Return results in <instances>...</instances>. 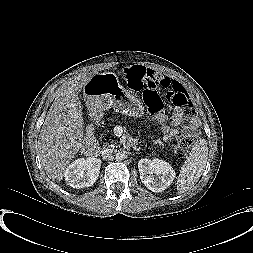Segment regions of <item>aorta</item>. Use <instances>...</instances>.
Wrapping results in <instances>:
<instances>
[{
  "mask_svg": "<svg viewBox=\"0 0 253 253\" xmlns=\"http://www.w3.org/2000/svg\"><path fill=\"white\" fill-rule=\"evenodd\" d=\"M124 158H125V154H124V153L119 152V153L116 154V159H117L118 161H121V160H123Z\"/></svg>",
  "mask_w": 253,
  "mask_h": 253,
  "instance_id": "aorta-1",
  "label": "aorta"
}]
</instances>
